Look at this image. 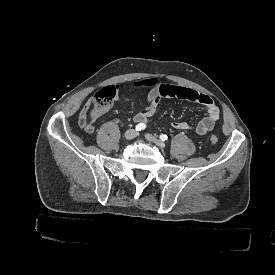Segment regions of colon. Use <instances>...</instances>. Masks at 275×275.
Masks as SVG:
<instances>
[{"mask_svg":"<svg viewBox=\"0 0 275 275\" xmlns=\"http://www.w3.org/2000/svg\"><path fill=\"white\" fill-rule=\"evenodd\" d=\"M109 101L106 97H101L96 99L95 104L93 107L89 108L87 107L85 110L82 111L80 118H79V125L84 129L85 131L89 132L91 131L92 127L87 122V115L89 114L90 110H93V113L98 115L101 113V111L105 110L107 108V102ZM210 142L212 144H216L218 142V137L216 135H212L210 137Z\"/></svg>","mask_w":275,"mask_h":275,"instance_id":"obj_1","label":"colon"}]
</instances>
